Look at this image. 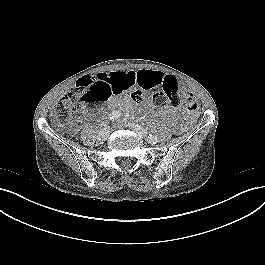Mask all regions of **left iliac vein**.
<instances>
[{"mask_svg":"<svg viewBox=\"0 0 265 265\" xmlns=\"http://www.w3.org/2000/svg\"><path fill=\"white\" fill-rule=\"evenodd\" d=\"M129 127L134 130L135 132H137L141 137L143 138H147V131L141 127L139 124H136V123H132V124H129ZM148 141L151 143V144H155L157 140H149Z\"/></svg>","mask_w":265,"mask_h":265,"instance_id":"obj_1","label":"left iliac vein"}]
</instances>
